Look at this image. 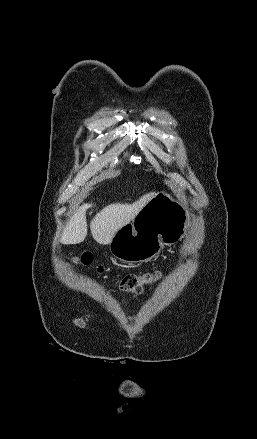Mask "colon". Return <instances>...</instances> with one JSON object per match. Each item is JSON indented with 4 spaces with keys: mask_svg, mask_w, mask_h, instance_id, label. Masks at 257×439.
I'll return each mask as SVG.
<instances>
[{
    "mask_svg": "<svg viewBox=\"0 0 257 439\" xmlns=\"http://www.w3.org/2000/svg\"><path fill=\"white\" fill-rule=\"evenodd\" d=\"M91 260L92 254L88 251H84L81 254L72 257V261L74 263L81 262L83 264H88L91 262ZM161 276V272H152L140 275L127 274L121 279L119 288L123 292L137 295L141 293L144 284L157 281L161 278Z\"/></svg>",
    "mask_w": 257,
    "mask_h": 439,
    "instance_id": "5ec220e1",
    "label": "colon"
}]
</instances>
